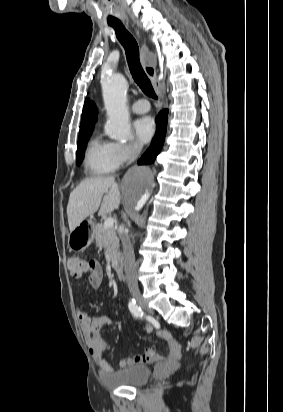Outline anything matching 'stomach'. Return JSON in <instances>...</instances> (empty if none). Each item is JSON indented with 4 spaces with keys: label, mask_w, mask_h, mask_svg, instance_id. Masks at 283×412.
Masks as SVG:
<instances>
[{
    "label": "stomach",
    "mask_w": 283,
    "mask_h": 412,
    "mask_svg": "<svg viewBox=\"0 0 283 412\" xmlns=\"http://www.w3.org/2000/svg\"><path fill=\"white\" fill-rule=\"evenodd\" d=\"M94 224L87 220L82 221L68 236V246L74 251L86 249L93 241Z\"/></svg>",
    "instance_id": "stomach-1"
}]
</instances>
